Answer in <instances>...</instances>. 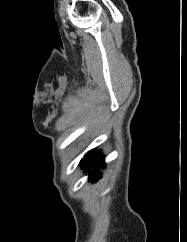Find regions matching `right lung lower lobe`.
Masks as SVG:
<instances>
[{
  "mask_svg": "<svg viewBox=\"0 0 187 242\" xmlns=\"http://www.w3.org/2000/svg\"><path fill=\"white\" fill-rule=\"evenodd\" d=\"M80 165L85 167L88 171L89 181L95 182L99 178H101L100 169L105 167L104 156L97 151V149H93L89 151L81 160Z\"/></svg>",
  "mask_w": 187,
  "mask_h": 242,
  "instance_id": "obj_1",
  "label": "right lung lower lobe"
}]
</instances>
